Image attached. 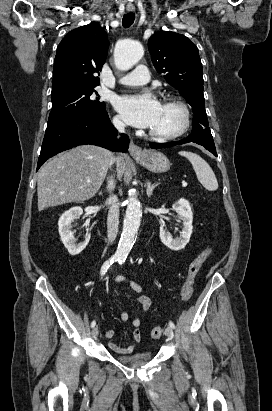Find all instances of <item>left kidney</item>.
Returning a JSON list of instances; mask_svg holds the SVG:
<instances>
[{
  "instance_id": "obj_1",
  "label": "left kidney",
  "mask_w": 272,
  "mask_h": 411,
  "mask_svg": "<svg viewBox=\"0 0 272 411\" xmlns=\"http://www.w3.org/2000/svg\"><path fill=\"white\" fill-rule=\"evenodd\" d=\"M173 211L178 215V218L182 221V231L180 237L173 238L171 234L166 231L163 226L160 227V239L161 242L172 250H181L189 242L193 226V213L191 211L190 204L187 200L181 198L173 205Z\"/></svg>"
}]
</instances>
